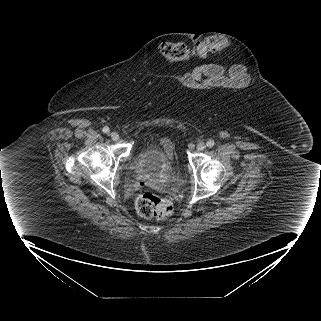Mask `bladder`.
Instances as JSON below:
<instances>
[{
    "instance_id": "obj_1",
    "label": "bladder",
    "mask_w": 321,
    "mask_h": 321,
    "mask_svg": "<svg viewBox=\"0 0 321 321\" xmlns=\"http://www.w3.org/2000/svg\"><path fill=\"white\" fill-rule=\"evenodd\" d=\"M176 165L158 144L148 143L132 162V173L148 180H156L175 169Z\"/></svg>"
}]
</instances>
